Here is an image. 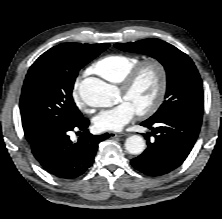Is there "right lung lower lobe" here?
<instances>
[{"label":"right lung lower lobe","instance_id":"98d812e1","mask_svg":"<svg viewBox=\"0 0 222 219\" xmlns=\"http://www.w3.org/2000/svg\"><path fill=\"white\" fill-rule=\"evenodd\" d=\"M88 125L89 120L82 116L53 130L31 144L33 155L47 172L58 178L81 176L93 164L98 144L109 137L108 133L99 136L90 134ZM74 129L83 131L76 142L71 141L68 135Z\"/></svg>","mask_w":222,"mask_h":219}]
</instances>
